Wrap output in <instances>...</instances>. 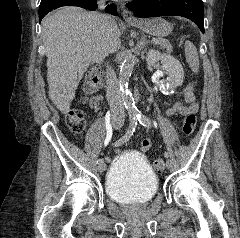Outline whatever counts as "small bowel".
Masks as SVG:
<instances>
[{
	"label": "small bowel",
	"mask_w": 240,
	"mask_h": 238,
	"mask_svg": "<svg viewBox=\"0 0 240 238\" xmlns=\"http://www.w3.org/2000/svg\"><path fill=\"white\" fill-rule=\"evenodd\" d=\"M102 98L100 96L94 97L90 101V107L93 111L98 112L100 110V102ZM199 104L197 102H193L189 105H185L183 102L179 101L174 103L172 106L168 107L166 109V113L169 116H175V115H182L186 116L189 113H196L198 111ZM151 146V141L148 139H145L141 144V153L147 154L148 149ZM122 151V146H115L114 149H112V154H120ZM102 159H106L108 162L112 161L111 154H102ZM110 164V163H109Z\"/></svg>",
	"instance_id": "c3829d8e"
}]
</instances>
